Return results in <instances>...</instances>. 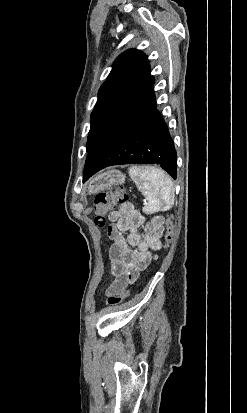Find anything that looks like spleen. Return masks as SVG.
<instances>
[{
    "mask_svg": "<svg viewBox=\"0 0 247 413\" xmlns=\"http://www.w3.org/2000/svg\"><path fill=\"white\" fill-rule=\"evenodd\" d=\"M129 176L148 200L149 213L169 211L174 204V186L171 176L156 166H130Z\"/></svg>",
    "mask_w": 247,
    "mask_h": 413,
    "instance_id": "3e777b00",
    "label": "spleen"
}]
</instances>
